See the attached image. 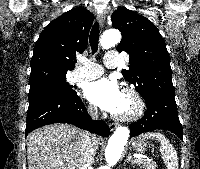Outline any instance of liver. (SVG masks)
<instances>
[{
  "instance_id": "obj_1",
  "label": "liver",
  "mask_w": 200,
  "mask_h": 169,
  "mask_svg": "<svg viewBox=\"0 0 200 169\" xmlns=\"http://www.w3.org/2000/svg\"><path fill=\"white\" fill-rule=\"evenodd\" d=\"M84 132L69 124H52L26 139L28 169H78ZM95 149L100 139L92 136Z\"/></svg>"
}]
</instances>
